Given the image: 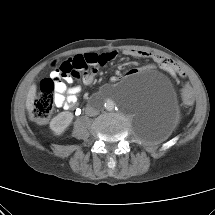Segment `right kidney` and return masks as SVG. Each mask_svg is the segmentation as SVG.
<instances>
[{
  "instance_id": "ca27d5eb",
  "label": "right kidney",
  "mask_w": 215,
  "mask_h": 215,
  "mask_svg": "<svg viewBox=\"0 0 215 215\" xmlns=\"http://www.w3.org/2000/svg\"><path fill=\"white\" fill-rule=\"evenodd\" d=\"M72 120L73 114L71 112H61L51 120L50 129L55 135H61L71 124Z\"/></svg>"
}]
</instances>
